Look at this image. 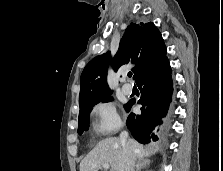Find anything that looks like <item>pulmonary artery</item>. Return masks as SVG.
I'll use <instances>...</instances> for the list:
<instances>
[{
	"mask_svg": "<svg viewBox=\"0 0 223 171\" xmlns=\"http://www.w3.org/2000/svg\"><path fill=\"white\" fill-rule=\"evenodd\" d=\"M122 92H123L125 95H130V94H132V92H133V88H132V86H131L130 84L125 83V84H123V86H122Z\"/></svg>",
	"mask_w": 223,
	"mask_h": 171,
	"instance_id": "pulmonary-artery-1",
	"label": "pulmonary artery"
}]
</instances>
